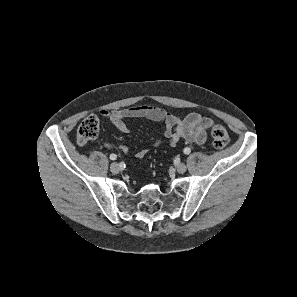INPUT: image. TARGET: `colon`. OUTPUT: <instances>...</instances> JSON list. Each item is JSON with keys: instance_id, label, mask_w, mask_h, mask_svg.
<instances>
[{"instance_id": "5ec220e1", "label": "colon", "mask_w": 297, "mask_h": 297, "mask_svg": "<svg viewBox=\"0 0 297 297\" xmlns=\"http://www.w3.org/2000/svg\"><path fill=\"white\" fill-rule=\"evenodd\" d=\"M99 134V120L96 116L85 118L77 130V143L80 146L85 145L90 140L95 139ZM211 138L213 146L217 149L225 148L229 143V135L226 129L221 125H214L211 128Z\"/></svg>"}]
</instances>
